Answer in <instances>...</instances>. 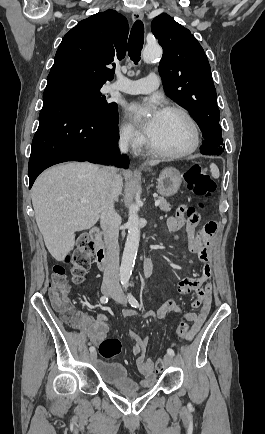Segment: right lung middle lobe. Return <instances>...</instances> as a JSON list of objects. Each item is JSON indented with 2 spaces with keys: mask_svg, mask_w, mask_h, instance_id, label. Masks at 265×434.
I'll list each match as a JSON object with an SVG mask.
<instances>
[{
  "mask_svg": "<svg viewBox=\"0 0 265 434\" xmlns=\"http://www.w3.org/2000/svg\"><path fill=\"white\" fill-rule=\"evenodd\" d=\"M104 83L84 75L57 74L48 76L43 96L60 95L91 119L115 124L118 122V107L115 102L107 101L100 92Z\"/></svg>",
  "mask_w": 265,
  "mask_h": 434,
  "instance_id": "obj_1",
  "label": "right lung middle lobe"
}]
</instances>
